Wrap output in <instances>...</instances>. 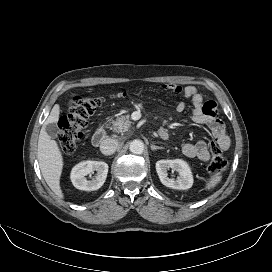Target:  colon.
I'll return each instance as SVG.
<instances>
[{
	"label": "colon",
	"instance_id": "5ec220e1",
	"mask_svg": "<svg viewBox=\"0 0 272 272\" xmlns=\"http://www.w3.org/2000/svg\"><path fill=\"white\" fill-rule=\"evenodd\" d=\"M99 105L100 99L96 97L76 96L73 98L69 114L61 117L58 123V145L63 153L71 154L75 151L89 117ZM210 152L212 157L209 171L213 175H219L226 170L227 161L217 144H211Z\"/></svg>",
	"mask_w": 272,
	"mask_h": 272
}]
</instances>
